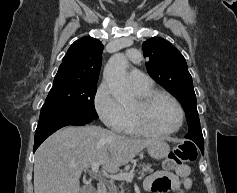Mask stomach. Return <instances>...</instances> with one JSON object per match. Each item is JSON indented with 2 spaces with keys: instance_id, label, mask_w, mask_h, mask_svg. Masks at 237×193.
I'll use <instances>...</instances> for the list:
<instances>
[{
  "instance_id": "stomach-1",
  "label": "stomach",
  "mask_w": 237,
  "mask_h": 193,
  "mask_svg": "<svg viewBox=\"0 0 237 193\" xmlns=\"http://www.w3.org/2000/svg\"><path fill=\"white\" fill-rule=\"evenodd\" d=\"M147 151L152 158H165L170 152L169 145L162 139H157L154 143L147 146Z\"/></svg>"
}]
</instances>
